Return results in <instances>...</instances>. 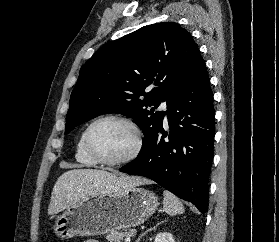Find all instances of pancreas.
I'll return each instance as SVG.
<instances>
[{
    "label": "pancreas",
    "mask_w": 279,
    "mask_h": 242,
    "mask_svg": "<svg viewBox=\"0 0 279 242\" xmlns=\"http://www.w3.org/2000/svg\"><path fill=\"white\" fill-rule=\"evenodd\" d=\"M135 233L134 230H113L110 232L109 235H107L106 239L109 242H122L124 238L131 237Z\"/></svg>",
    "instance_id": "obj_1"
}]
</instances>
